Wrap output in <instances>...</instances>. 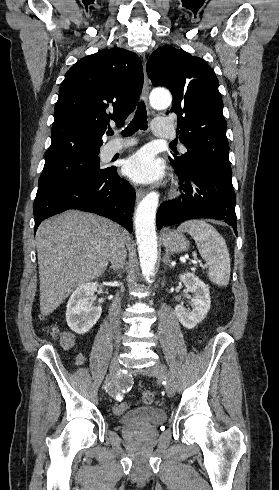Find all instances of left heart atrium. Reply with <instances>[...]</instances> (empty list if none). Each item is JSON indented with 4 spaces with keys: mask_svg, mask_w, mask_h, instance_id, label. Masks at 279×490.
<instances>
[{
    "mask_svg": "<svg viewBox=\"0 0 279 490\" xmlns=\"http://www.w3.org/2000/svg\"><path fill=\"white\" fill-rule=\"evenodd\" d=\"M123 172L136 184L152 185L163 179L165 166L151 151L142 149L124 161Z\"/></svg>",
    "mask_w": 279,
    "mask_h": 490,
    "instance_id": "obj_1",
    "label": "left heart atrium"
}]
</instances>
